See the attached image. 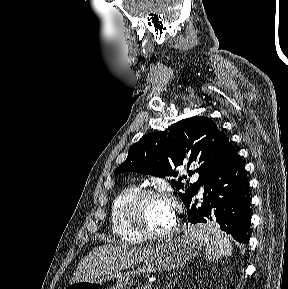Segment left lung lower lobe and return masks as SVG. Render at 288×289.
I'll use <instances>...</instances> for the list:
<instances>
[{
	"mask_svg": "<svg viewBox=\"0 0 288 289\" xmlns=\"http://www.w3.org/2000/svg\"><path fill=\"white\" fill-rule=\"evenodd\" d=\"M203 202L187 205L188 222H213L241 243H248L250 195L246 171L229 142L220 161L204 179Z\"/></svg>",
	"mask_w": 288,
	"mask_h": 289,
	"instance_id": "0a47b994",
	"label": "left lung lower lobe"
}]
</instances>
